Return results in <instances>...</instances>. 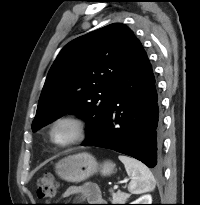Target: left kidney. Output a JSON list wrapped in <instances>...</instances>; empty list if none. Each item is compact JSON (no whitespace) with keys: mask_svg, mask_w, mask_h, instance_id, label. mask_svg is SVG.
Segmentation results:
<instances>
[{"mask_svg":"<svg viewBox=\"0 0 200 205\" xmlns=\"http://www.w3.org/2000/svg\"><path fill=\"white\" fill-rule=\"evenodd\" d=\"M131 204H152V196L150 194L143 195Z\"/></svg>","mask_w":200,"mask_h":205,"instance_id":"1","label":"left kidney"}]
</instances>
